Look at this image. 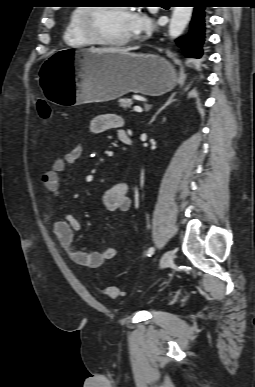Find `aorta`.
<instances>
[{
    "label": "aorta",
    "mask_w": 255,
    "mask_h": 387,
    "mask_svg": "<svg viewBox=\"0 0 255 387\" xmlns=\"http://www.w3.org/2000/svg\"><path fill=\"white\" fill-rule=\"evenodd\" d=\"M192 11V7H174L168 30L169 36L172 39L179 37L183 33L190 21Z\"/></svg>",
    "instance_id": "aorta-1"
}]
</instances>
